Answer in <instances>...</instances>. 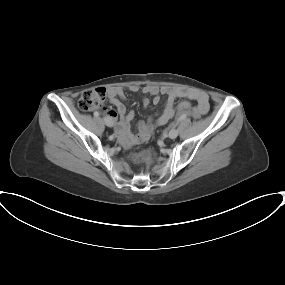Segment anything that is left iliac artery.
Wrapping results in <instances>:
<instances>
[{
	"label": "left iliac artery",
	"mask_w": 285,
	"mask_h": 285,
	"mask_svg": "<svg viewBox=\"0 0 285 285\" xmlns=\"http://www.w3.org/2000/svg\"><path fill=\"white\" fill-rule=\"evenodd\" d=\"M182 120H183V117H180V118L178 119L177 123L180 122V121H182Z\"/></svg>",
	"instance_id": "1"
}]
</instances>
